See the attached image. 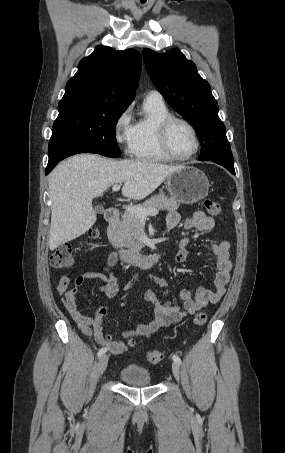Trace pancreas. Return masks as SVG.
<instances>
[{"label":"pancreas","mask_w":285,"mask_h":453,"mask_svg":"<svg viewBox=\"0 0 285 453\" xmlns=\"http://www.w3.org/2000/svg\"><path fill=\"white\" fill-rule=\"evenodd\" d=\"M137 206L143 209H156L158 211H175L179 208V204L174 199L169 198L163 193L154 195ZM141 227V218L126 210L121 220L111 226L113 239L120 246L126 247L134 252H139L143 247L140 241Z\"/></svg>","instance_id":"obj_1"}]
</instances>
